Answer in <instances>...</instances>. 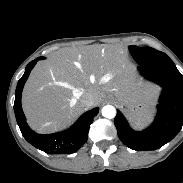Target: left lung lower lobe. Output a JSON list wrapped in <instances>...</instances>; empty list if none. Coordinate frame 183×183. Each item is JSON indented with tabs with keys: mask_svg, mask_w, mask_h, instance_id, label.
I'll use <instances>...</instances> for the list:
<instances>
[{
	"mask_svg": "<svg viewBox=\"0 0 183 183\" xmlns=\"http://www.w3.org/2000/svg\"><path fill=\"white\" fill-rule=\"evenodd\" d=\"M137 68L146 79L162 87L155 120L147 129L137 132L117 110L114 124L120 140L127 147L136 151L156 150L171 141L182 128L183 76L171 59L139 64Z\"/></svg>",
	"mask_w": 183,
	"mask_h": 183,
	"instance_id": "obj_1",
	"label": "left lung lower lobe"
}]
</instances>
